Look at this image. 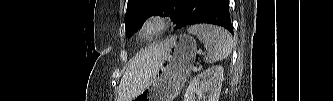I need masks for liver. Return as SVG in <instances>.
I'll use <instances>...</instances> for the list:
<instances>
[{"instance_id":"6515ba94","label":"liver","mask_w":333,"mask_h":101,"mask_svg":"<svg viewBox=\"0 0 333 101\" xmlns=\"http://www.w3.org/2000/svg\"><path fill=\"white\" fill-rule=\"evenodd\" d=\"M166 41L137 53L120 81L119 101H132L153 80L164 59Z\"/></svg>"}]
</instances>
